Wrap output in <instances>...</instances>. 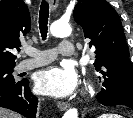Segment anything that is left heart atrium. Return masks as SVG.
Instances as JSON below:
<instances>
[{
  "instance_id": "39dd6f15",
  "label": "left heart atrium",
  "mask_w": 133,
  "mask_h": 118,
  "mask_svg": "<svg viewBox=\"0 0 133 118\" xmlns=\"http://www.w3.org/2000/svg\"><path fill=\"white\" fill-rule=\"evenodd\" d=\"M77 86V75L69 66H51L40 71L35 79L36 90L51 97H66Z\"/></svg>"
}]
</instances>
